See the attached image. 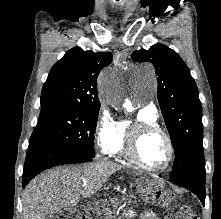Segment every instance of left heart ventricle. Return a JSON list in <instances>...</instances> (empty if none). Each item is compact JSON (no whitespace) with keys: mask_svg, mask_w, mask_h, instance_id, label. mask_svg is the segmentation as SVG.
<instances>
[{"mask_svg":"<svg viewBox=\"0 0 221 219\" xmlns=\"http://www.w3.org/2000/svg\"><path fill=\"white\" fill-rule=\"evenodd\" d=\"M138 152L144 163L155 168L163 167L168 158L167 143L158 133L144 136L140 141Z\"/></svg>","mask_w":221,"mask_h":219,"instance_id":"1","label":"left heart ventricle"}]
</instances>
